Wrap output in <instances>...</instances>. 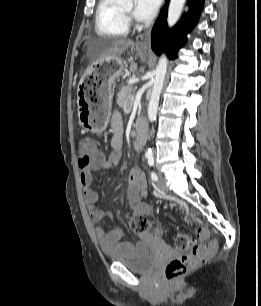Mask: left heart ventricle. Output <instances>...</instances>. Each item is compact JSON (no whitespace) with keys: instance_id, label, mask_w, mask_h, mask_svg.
<instances>
[{"instance_id":"1","label":"left heart ventricle","mask_w":261,"mask_h":306,"mask_svg":"<svg viewBox=\"0 0 261 306\" xmlns=\"http://www.w3.org/2000/svg\"><path fill=\"white\" fill-rule=\"evenodd\" d=\"M124 10L127 11V12H130L132 10V4L124 7Z\"/></svg>"}]
</instances>
